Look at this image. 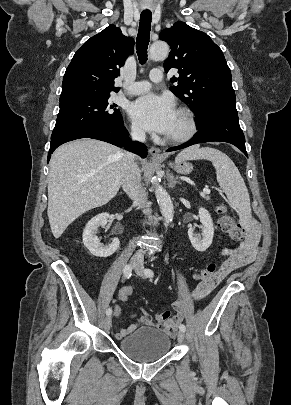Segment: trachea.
<instances>
[{
    "label": "trachea",
    "mask_w": 291,
    "mask_h": 405,
    "mask_svg": "<svg viewBox=\"0 0 291 405\" xmlns=\"http://www.w3.org/2000/svg\"><path fill=\"white\" fill-rule=\"evenodd\" d=\"M152 13L143 11L140 15L138 35L136 38V50L139 61L144 64L147 61V49L150 39Z\"/></svg>",
    "instance_id": "3493384b"
}]
</instances>
